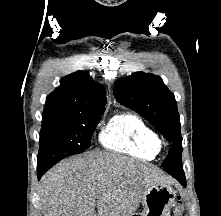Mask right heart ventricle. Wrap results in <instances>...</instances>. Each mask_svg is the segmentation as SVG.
Here are the masks:
<instances>
[{
	"label": "right heart ventricle",
	"mask_w": 221,
	"mask_h": 216,
	"mask_svg": "<svg viewBox=\"0 0 221 216\" xmlns=\"http://www.w3.org/2000/svg\"><path fill=\"white\" fill-rule=\"evenodd\" d=\"M100 144L113 152L141 159H154L158 154L157 136L137 114L113 115L99 134Z\"/></svg>",
	"instance_id": "obj_1"
}]
</instances>
